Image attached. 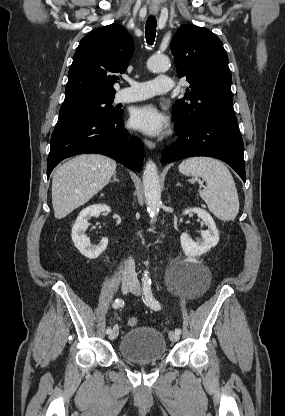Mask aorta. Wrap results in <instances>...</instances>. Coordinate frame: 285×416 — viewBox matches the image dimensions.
I'll return each instance as SVG.
<instances>
[{
	"mask_svg": "<svg viewBox=\"0 0 285 416\" xmlns=\"http://www.w3.org/2000/svg\"><path fill=\"white\" fill-rule=\"evenodd\" d=\"M169 67L170 60L165 55H153L147 61V68L155 73L165 72L169 69ZM143 189L147 211L152 218V222L154 223L162 202L157 167L151 160L146 163L143 173Z\"/></svg>",
	"mask_w": 285,
	"mask_h": 416,
	"instance_id": "aorta-1",
	"label": "aorta"
}]
</instances>
